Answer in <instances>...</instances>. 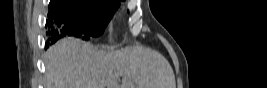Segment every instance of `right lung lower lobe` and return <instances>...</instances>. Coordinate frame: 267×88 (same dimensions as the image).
<instances>
[{"label":"right lung lower lobe","mask_w":267,"mask_h":88,"mask_svg":"<svg viewBox=\"0 0 267 88\" xmlns=\"http://www.w3.org/2000/svg\"><path fill=\"white\" fill-rule=\"evenodd\" d=\"M50 20H47V24L50 23ZM51 25H54L52 29L49 31L51 32V35L53 37L49 38L51 43H55L58 39L64 36H75L77 33H75L72 26L65 24L63 22L54 21Z\"/></svg>","instance_id":"right-lung-lower-lobe-1"}]
</instances>
